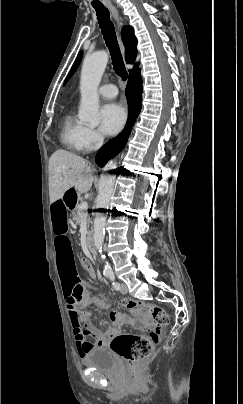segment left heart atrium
Returning <instances> with one entry per match:
<instances>
[{
	"instance_id": "left-heart-atrium-1",
	"label": "left heart atrium",
	"mask_w": 243,
	"mask_h": 404,
	"mask_svg": "<svg viewBox=\"0 0 243 404\" xmlns=\"http://www.w3.org/2000/svg\"><path fill=\"white\" fill-rule=\"evenodd\" d=\"M125 119L124 108L115 101H109L100 110V131L105 135H113L123 127Z\"/></svg>"
}]
</instances>
